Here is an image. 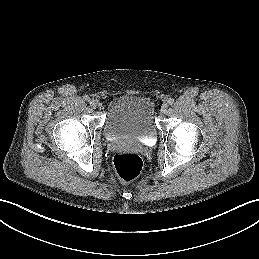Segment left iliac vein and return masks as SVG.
<instances>
[{
	"label": "left iliac vein",
	"mask_w": 259,
	"mask_h": 259,
	"mask_svg": "<svg viewBox=\"0 0 259 259\" xmlns=\"http://www.w3.org/2000/svg\"><path fill=\"white\" fill-rule=\"evenodd\" d=\"M168 110V104L167 103H164L162 106H161V112L163 114H165Z\"/></svg>",
	"instance_id": "left-iliac-vein-1"
}]
</instances>
